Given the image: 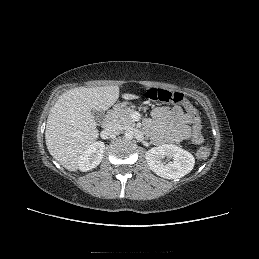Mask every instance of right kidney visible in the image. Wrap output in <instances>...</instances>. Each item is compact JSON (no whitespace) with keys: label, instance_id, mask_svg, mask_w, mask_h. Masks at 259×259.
Here are the masks:
<instances>
[{"label":"right kidney","instance_id":"right-kidney-1","mask_svg":"<svg viewBox=\"0 0 259 259\" xmlns=\"http://www.w3.org/2000/svg\"><path fill=\"white\" fill-rule=\"evenodd\" d=\"M105 144L103 142L92 143L80 156L79 170L86 172L97 167L103 158Z\"/></svg>","mask_w":259,"mask_h":259}]
</instances>
